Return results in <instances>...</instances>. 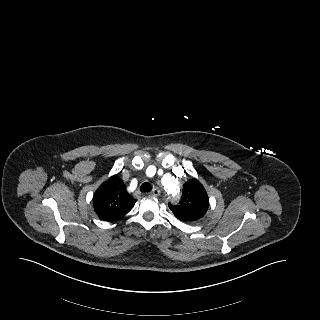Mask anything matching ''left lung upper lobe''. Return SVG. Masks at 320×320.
<instances>
[{"mask_svg":"<svg viewBox=\"0 0 320 320\" xmlns=\"http://www.w3.org/2000/svg\"><path fill=\"white\" fill-rule=\"evenodd\" d=\"M174 215L183 222H194L202 218L209 206L205 188L195 178L183 185L182 197L179 203L168 204Z\"/></svg>","mask_w":320,"mask_h":320,"instance_id":"obj_1","label":"left lung upper lobe"}]
</instances>
